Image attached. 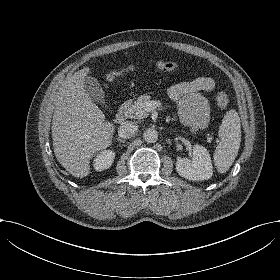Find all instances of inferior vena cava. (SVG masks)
I'll list each match as a JSON object with an SVG mask.
<instances>
[{
    "label": "inferior vena cava",
    "instance_id": "inferior-vena-cava-1",
    "mask_svg": "<svg viewBox=\"0 0 280 280\" xmlns=\"http://www.w3.org/2000/svg\"><path fill=\"white\" fill-rule=\"evenodd\" d=\"M138 130V125L133 122H124L118 127V135L122 139L132 137Z\"/></svg>",
    "mask_w": 280,
    "mask_h": 280
}]
</instances>
